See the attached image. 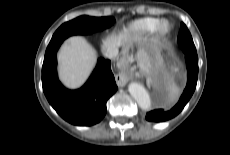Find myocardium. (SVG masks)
Instances as JSON below:
<instances>
[{
	"label": "myocardium",
	"mask_w": 230,
	"mask_h": 155,
	"mask_svg": "<svg viewBox=\"0 0 230 155\" xmlns=\"http://www.w3.org/2000/svg\"><path fill=\"white\" fill-rule=\"evenodd\" d=\"M172 30V23L170 20L163 18L158 20L155 25L154 32L157 36L164 37L168 35Z\"/></svg>",
	"instance_id": "myocardium-1"
}]
</instances>
